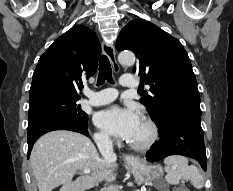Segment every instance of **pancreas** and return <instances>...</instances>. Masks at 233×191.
<instances>
[{
	"instance_id": "obj_1",
	"label": "pancreas",
	"mask_w": 233,
	"mask_h": 191,
	"mask_svg": "<svg viewBox=\"0 0 233 191\" xmlns=\"http://www.w3.org/2000/svg\"><path fill=\"white\" fill-rule=\"evenodd\" d=\"M121 186H116V185H112V186H106L103 189H101V191H120Z\"/></svg>"
}]
</instances>
